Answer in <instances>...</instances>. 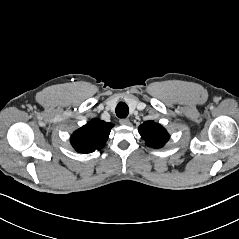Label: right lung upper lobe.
<instances>
[{
    "label": "right lung upper lobe",
    "instance_id": "right-lung-upper-lobe-1",
    "mask_svg": "<svg viewBox=\"0 0 239 239\" xmlns=\"http://www.w3.org/2000/svg\"><path fill=\"white\" fill-rule=\"evenodd\" d=\"M113 126L111 123L92 119L72 134L71 144L80 153H91L95 150H100L105 146Z\"/></svg>",
    "mask_w": 239,
    "mask_h": 239
}]
</instances>
